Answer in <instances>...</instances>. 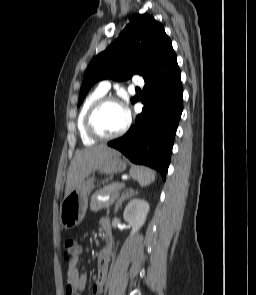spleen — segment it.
Here are the masks:
<instances>
[{"label": "spleen", "instance_id": "1", "mask_svg": "<svg viewBox=\"0 0 256 295\" xmlns=\"http://www.w3.org/2000/svg\"><path fill=\"white\" fill-rule=\"evenodd\" d=\"M133 177L139 182L140 186H147L155 180L154 172L147 167L137 166L132 169Z\"/></svg>", "mask_w": 256, "mask_h": 295}]
</instances>
